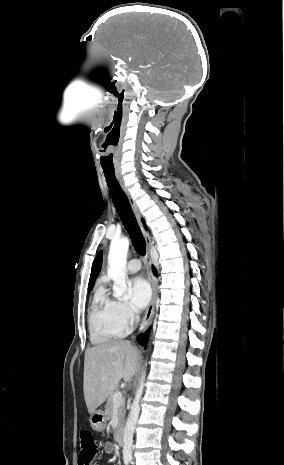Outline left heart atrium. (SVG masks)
<instances>
[{
	"mask_svg": "<svg viewBox=\"0 0 284 465\" xmlns=\"http://www.w3.org/2000/svg\"><path fill=\"white\" fill-rule=\"evenodd\" d=\"M129 304L135 312L142 311L149 303L151 289L148 282L142 277H135L129 281Z\"/></svg>",
	"mask_w": 284,
	"mask_h": 465,
	"instance_id": "39dd6f15",
	"label": "left heart atrium"
}]
</instances>
